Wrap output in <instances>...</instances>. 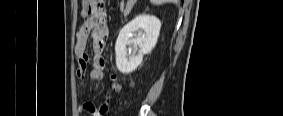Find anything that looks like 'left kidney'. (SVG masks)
<instances>
[{"label":"left kidney","mask_w":283,"mask_h":116,"mask_svg":"<svg viewBox=\"0 0 283 116\" xmlns=\"http://www.w3.org/2000/svg\"><path fill=\"white\" fill-rule=\"evenodd\" d=\"M161 22L152 15H138L119 32L115 44L116 66L123 74L133 72L157 43ZM129 46V53L128 48Z\"/></svg>","instance_id":"left-kidney-1"}]
</instances>
